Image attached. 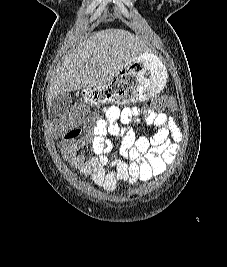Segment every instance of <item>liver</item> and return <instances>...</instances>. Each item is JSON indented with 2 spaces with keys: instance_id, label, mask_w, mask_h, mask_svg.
Instances as JSON below:
<instances>
[{
  "instance_id": "6515ba94",
  "label": "liver",
  "mask_w": 227,
  "mask_h": 267,
  "mask_svg": "<svg viewBox=\"0 0 227 267\" xmlns=\"http://www.w3.org/2000/svg\"><path fill=\"white\" fill-rule=\"evenodd\" d=\"M145 50L138 36L122 29L93 33L58 65L47 90V105L66 92L104 87Z\"/></svg>"
}]
</instances>
